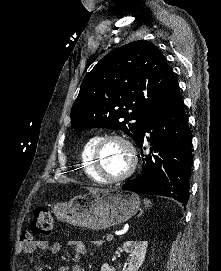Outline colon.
<instances>
[{"label": "colon", "mask_w": 221, "mask_h": 271, "mask_svg": "<svg viewBox=\"0 0 221 271\" xmlns=\"http://www.w3.org/2000/svg\"><path fill=\"white\" fill-rule=\"evenodd\" d=\"M53 228L54 220L51 212L46 208H38L29 229L24 232L23 237L29 241L34 235L50 234Z\"/></svg>", "instance_id": "1"}]
</instances>
